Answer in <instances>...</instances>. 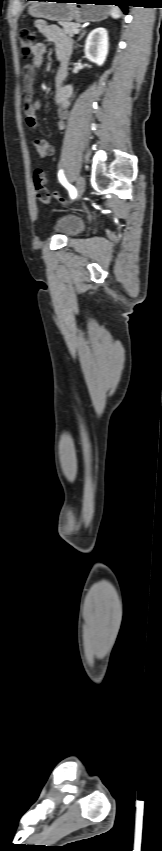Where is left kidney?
<instances>
[{
    "label": "left kidney",
    "instance_id": "left-kidney-1",
    "mask_svg": "<svg viewBox=\"0 0 162 851\" xmlns=\"http://www.w3.org/2000/svg\"><path fill=\"white\" fill-rule=\"evenodd\" d=\"M108 32L105 28L99 27L89 33L85 42V57L102 66L108 55Z\"/></svg>",
    "mask_w": 162,
    "mask_h": 851
}]
</instances>
